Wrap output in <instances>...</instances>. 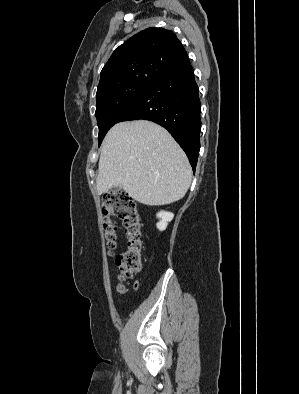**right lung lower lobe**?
Instances as JSON below:
<instances>
[{
    "label": "right lung lower lobe",
    "mask_w": 299,
    "mask_h": 394,
    "mask_svg": "<svg viewBox=\"0 0 299 394\" xmlns=\"http://www.w3.org/2000/svg\"><path fill=\"white\" fill-rule=\"evenodd\" d=\"M200 109L198 85L187 58L152 82L118 122L144 119L163 126L185 151L195 171L200 150Z\"/></svg>",
    "instance_id": "obj_1"
}]
</instances>
